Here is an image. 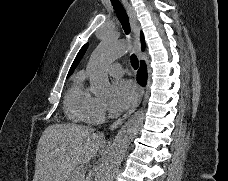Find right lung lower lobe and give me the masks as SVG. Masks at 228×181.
<instances>
[{
  "mask_svg": "<svg viewBox=\"0 0 228 181\" xmlns=\"http://www.w3.org/2000/svg\"><path fill=\"white\" fill-rule=\"evenodd\" d=\"M137 81L141 85H145L147 81V68L144 61H141V67L137 73Z\"/></svg>",
  "mask_w": 228,
  "mask_h": 181,
  "instance_id": "obj_1",
  "label": "right lung lower lobe"
}]
</instances>
